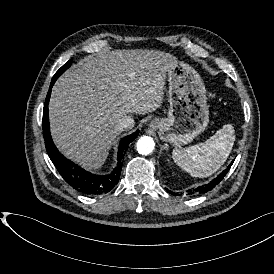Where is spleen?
I'll use <instances>...</instances> for the list:
<instances>
[{"instance_id": "1", "label": "spleen", "mask_w": 274, "mask_h": 274, "mask_svg": "<svg viewBox=\"0 0 274 274\" xmlns=\"http://www.w3.org/2000/svg\"><path fill=\"white\" fill-rule=\"evenodd\" d=\"M234 140L233 127L227 124L206 142L184 149L174 148L172 157L175 163L190 175L206 177L225 162Z\"/></svg>"}]
</instances>
